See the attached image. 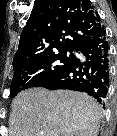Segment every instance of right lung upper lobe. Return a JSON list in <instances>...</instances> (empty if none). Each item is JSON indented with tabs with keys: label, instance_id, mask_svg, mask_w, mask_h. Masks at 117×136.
Instances as JSON below:
<instances>
[{
	"label": "right lung upper lobe",
	"instance_id": "obj_1",
	"mask_svg": "<svg viewBox=\"0 0 117 136\" xmlns=\"http://www.w3.org/2000/svg\"><path fill=\"white\" fill-rule=\"evenodd\" d=\"M101 27L99 15L87 0H35L13 68L55 54L57 50H77Z\"/></svg>",
	"mask_w": 117,
	"mask_h": 136
}]
</instances>
